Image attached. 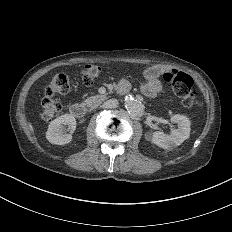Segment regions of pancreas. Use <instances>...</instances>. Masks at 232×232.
Masks as SVG:
<instances>
[{
	"label": "pancreas",
	"mask_w": 232,
	"mask_h": 232,
	"mask_svg": "<svg viewBox=\"0 0 232 232\" xmlns=\"http://www.w3.org/2000/svg\"><path fill=\"white\" fill-rule=\"evenodd\" d=\"M105 96L104 95H96L94 97H91L86 100V105L90 109H94L95 107H98L99 104L104 100Z\"/></svg>",
	"instance_id": "1"
}]
</instances>
